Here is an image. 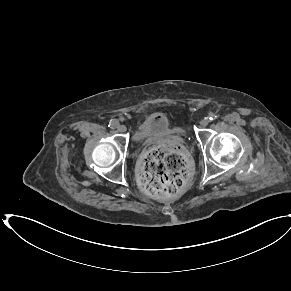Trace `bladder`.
Instances as JSON below:
<instances>
[{
    "label": "bladder",
    "instance_id": "31cf9c89",
    "mask_svg": "<svg viewBox=\"0 0 291 291\" xmlns=\"http://www.w3.org/2000/svg\"><path fill=\"white\" fill-rule=\"evenodd\" d=\"M170 132L176 135L182 133L181 128L171 125L164 114L150 116L136 128V133L144 138L160 137Z\"/></svg>",
    "mask_w": 291,
    "mask_h": 291
}]
</instances>
